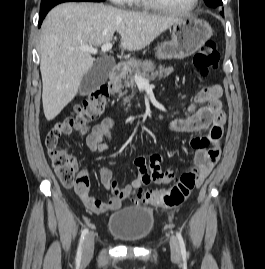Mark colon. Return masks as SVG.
Returning a JSON list of instances; mask_svg holds the SVG:
<instances>
[{
	"instance_id": "5ec220e1",
	"label": "colon",
	"mask_w": 265,
	"mask_h": 269,
	"mask_svg": "<svg viewBox=\"0 0 265 269\" xmlns=\"http://www.w3.org/2000/svg\"><path fill=\"white\" fill-rule=\"evenodd\" d=\"M220 56L216 43L212 40L205 41L194 56V65L203 76L217 69ZM109 91L106 86H101L89 94L80 105L74 107L70 116L59 121L50 130L46 138V147L54 171L62 185L70 187L77 179L78 164L71 154L67 144L62 145V137L72 132L86 133L90 123L99 117L105 110ZM221 136V127L215 126L211 130V137L217 139ZM199 180L197 167L185 171L179 180L169 190H148L140 192L135 201L171 208L183 204L196 188Z\"/></svg>"
}]
</instances>
